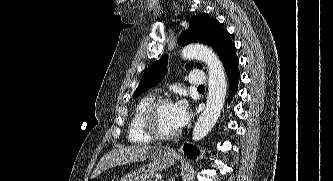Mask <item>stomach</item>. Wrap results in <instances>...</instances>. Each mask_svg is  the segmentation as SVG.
Instances as JSON below:
<instances>
[{"mask_svg": "<svg viewBox=\"0 0 333 181\" xmlns=\"http://www.w3.org/2000/svg\"><path fill=\"white\" fill-rule=\"evenodd\" d=\"M177 156L171 152L156 150L152 153L151 162L126 173L119 181H152L155 174L173 166Z\"/></svg>", "mask_w": 333, "mask_h": 181, "instance_id": "stomach-1", "label": "stomach"}]
</instances>
